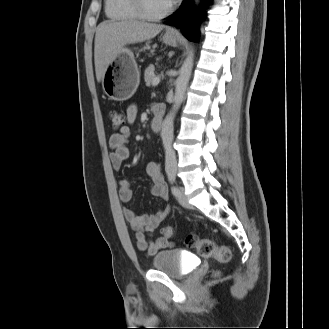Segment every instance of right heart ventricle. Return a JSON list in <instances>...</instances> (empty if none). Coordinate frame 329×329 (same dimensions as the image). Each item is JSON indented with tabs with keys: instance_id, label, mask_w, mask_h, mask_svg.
Listing matches in <instances>:
<instances>
[{
	"instance_id": "e07e8e85",
	"label": "right heart ventricle",
	"mask_w": 329,
	"mask_h": 329,
	"mask_svg": "<svg viewBox=\"0 0 329 329\" xmlns=\"http://www.w3.org/2000/svg\"><path fill=\"white\" fill-rule=\"evenodd\" d=\"M106 14L115 20H138L132 0H105Z\"/></svg>"
}]
</instances>
